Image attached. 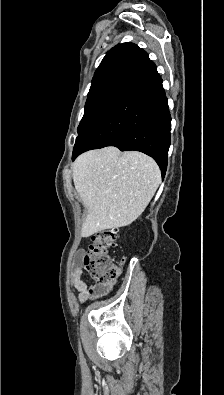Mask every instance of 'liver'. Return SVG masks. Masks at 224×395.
Instances as JSON below:
<instances>
[{"instance_id": "obj_1", "label": "liver", "mask_w": 224, "mask_h": 395, "mask_svg": "<svg viewBox=\"0 0 224 395\" xmlns=\"http://www.w3.org/2000/svg\"><path fill=\"white\" fill-rule=\"evenodd\" d=\"M73 181L87 210L81 236L124 227L146 209L161 183L157 163L137 152L116 147L92 150L72 165Z\"/></svg>"}]
</instances>
